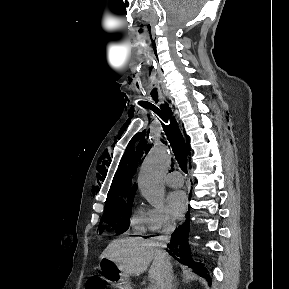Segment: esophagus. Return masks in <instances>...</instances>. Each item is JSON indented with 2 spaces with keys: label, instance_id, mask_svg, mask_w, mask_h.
<instances>
[{
  "label": "esophagus",
  "instance_id": "34e87169",
  "mask_svg": "<svg viewBox=\"0 0 289 289\" xmlns=\"http://www.w3.org/2000/svg\"><path fill=\"white\" fill-rule=\"evenodd\" d=\"M173 104H174V102L172 101L171 103H170V107L171 108H173ZM174 115L177 117L178 116V113H177V110L176 109H174Z\"/></svg>",
  "mask_w": 289,
  "mask_h": 289
}]
</instances>
